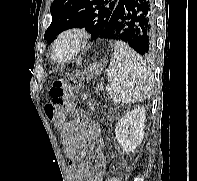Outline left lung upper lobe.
<instances>
[{
	"label": "left lung upper lobe",
	"mask_w": 197,
	"mask_h": 181,
	"mask_svg": "<svg viewBox=\"0 0 197 181\" xmlns=\"http://www.w3.org/2000/svg\"><path fill=\"white\" fill-rule=\"evenodd\" d=\"M119 0H54L50 7L52 22L45 32L48 43L62 31L79 27L96 40L101 34Z\"/></svg>",
	"instance_id": "1"
}]
</instances>
